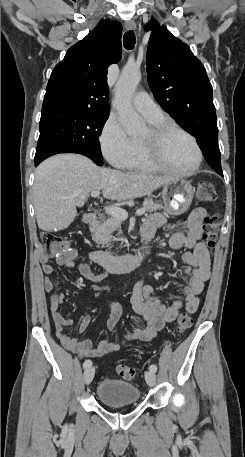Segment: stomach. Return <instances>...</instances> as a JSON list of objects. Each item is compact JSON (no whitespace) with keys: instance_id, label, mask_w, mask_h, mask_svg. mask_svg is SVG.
<instances>
[{"instance_id":"1","label":"stomach","mask_w":245,"mask_h":457,"mask_svg":"<svg viewBox=\"0 0 245 457\" xmlns=\"http://www.w3.org/2000/svg\"><path fill=\"white\" fill-rule=\"evenodd\" d=\"M194 186L190 180L173 178L167 184H163L162 198L164 208L169 214H182L192 202Z\"/></svg>"}]
</instances>
